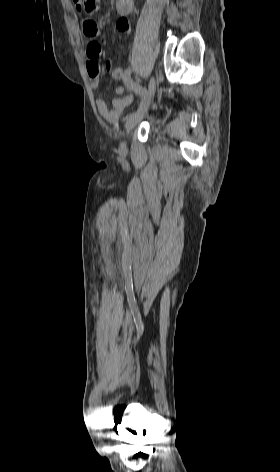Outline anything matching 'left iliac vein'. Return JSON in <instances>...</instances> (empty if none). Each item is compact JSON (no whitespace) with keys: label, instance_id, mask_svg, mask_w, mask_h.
<instances>
[{"label":"left iliac vein","instance_id":"obj_1","mask_svg":"<svg viewBox=\"0 0 280 472\" xmlns=\"http://www.w3.org/2000/svg\"><path fill=\"white\" fill-rule=\"evenodd\" d=\"M155 90H156V83H155L154 77H152L148 85V97H147L146 103L142 107H139L135 112H133L127 120V123H126L127 134H129L132 131V129H134V127L138 125L144 118L154 98ZM121 149L123 150L126 149L125 142L121 144Z\"/></svg>","mask_w":280,"mask_h":472}]
</instances>
